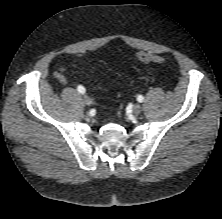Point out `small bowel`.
Listing matches in <instances>:
<instances>
[{
  "instance_id": "small-bowel-1",
  "label": "small bowel",
  "mask_w": 222,
  "mask_h": 219,
  "mask_svg": "<svg viewBox=\"0 0 222 219\" xmlns=\"http://www.w3.org/2000/svg\"><path fill=\"white\" fill-rule=\"evenodd\" d=\"M58 79L61 83H66L67 77L64 71L58 73Z\"/></svg>"
}]
</instances>
